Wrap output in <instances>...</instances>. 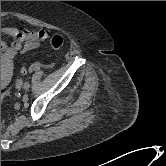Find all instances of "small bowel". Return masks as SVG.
Masks as SVG:
<instances>
[{"label":"small bowel","mask_w":166,"mask_h":166,"mask_svg":"<svg viewBox=\"0 0 166 166\" xmlns=\"http://www.w3.org/2000/svg\"><path fill=\"white\" fill-rule=\"evenodd\" d=\"M1 33L13 38L10 45L1 40V77L8 76L11 73L13 59L18 52L36 49L48 37V32L45 29L31 31L12 26L1 27Z\"/></svg>","instance_id":"small-bowel-1"}]
</instances>
